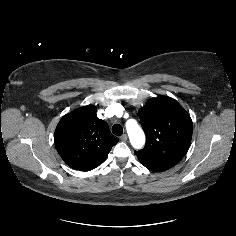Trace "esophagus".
<instances>
[{"label":"esophagus","mask_w":236,"mask_h":236,"mask_svg":"<svg viewBox=\"0 0 236 236\" xmlns=\"http://www.w3.org/2000/svg\"><path fill=\"white\" fill-rule=\"evenodd\" d=\"M127 139H128L127 134H123V135L120 137V140H121V141H126Z\"/></svg>","instance_id":"esophagus-1"}]
</instances>
